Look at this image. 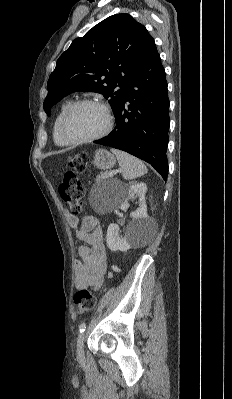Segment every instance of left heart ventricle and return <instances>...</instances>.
<instances>
[{
    "mask_svg": "<svg viewBox=\"0 0 232 399\" xmlns=\"http://www.w3.org/2000/svg\"><path fill=\"white\" fill-rule=\"evenodd\" d=\"M107 125L105 110L98 105H81L76 107L67 121L69 133L84 139L99 134Z\"/></svg>",
    "mask_w": 232,
    "mask_h": 399,
    "instance_id": "obj_1",
    "label": "left heart ventricle"
}]
</instances>
